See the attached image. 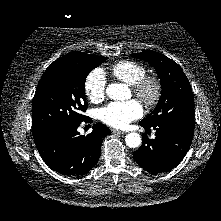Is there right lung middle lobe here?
I'll list each match as a JSON object with an SVG mask.
<instances>
[{"label":"right lung middle lobe","instance_id":"right-lung-middle-lobe-1","mask_svg":"<svg viewBox=\"0 0 221 221\" xmlns=\"http://www.w3.org/2000/svg\"><path fill=\"white\" fill-rule=\"evenodd\" d=\"M108 58L88 55L57 59L45 71L32 104L33 138L51 129L86 119L85 81L91 70Z\"/></svg>","mask_w":221,"mask_h":221}]
</instances>
